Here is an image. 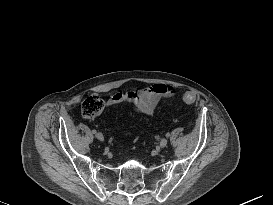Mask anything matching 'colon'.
I'll list each match as a JSON object with an SVG mask.
<instances>
[{
	"instance_id": "colon-1",
	"label": "colon",
	"mask_w": 273,
	"mask_h": 205,
	"mask_svg": "<svg viewBox=\"0 0 273 205\" xmlns=\"http://www.w3.org/2000/svg\"><path fill=\"white\" fill-rule=\"evenodd\" d=\"M181 98L187 104H192L195 101V95L190 92L183 93ZM102 109L103 101L98 95L95 94L85 97L81 104L82 115L87 119H94L98 117Z\"/></svg>"
}]
</instances>
